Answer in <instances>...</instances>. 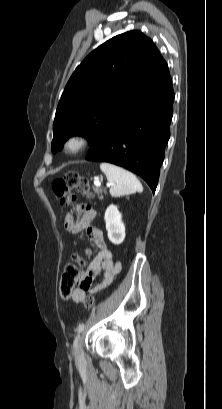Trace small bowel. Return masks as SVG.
Instances as JSON below:
<instances>
[{
	"label": "small bowel",
	"instance_id": "1",
	"mask_svg": "<svg viewBox=\"0 0 222 409\" xmlns=\"http://www.w3.org/2000/svg\"><path fill=\"white\" fill-rule=\"evenodd\" d=\"M95 215V210L88 208L80 219L74 220L70 214L65 217V229L68 232L76 234L86 230L99 248L86 272L83 269L74 271L76 289L72 292V299L77 304L85 302L89 293H97L110 285L121 270V263L114 258L113 253L107 247L101 231L91 227ZM101 272H103L102 281L95 286H91L93 279Z\"/></svg>",
	"mask_w": 222,
	"mask_h": 409
}]
</instances>
